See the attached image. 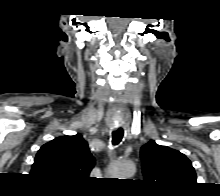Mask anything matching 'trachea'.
<instances>
[{"mask_svg": "<svg viewBox=\"0 0 220 196\" xmlns=\"http://www.w3.org/2000/svg\"><path fill=\"white\" fill-rule=\"evenodd\" d=\"M124 135V131L122 128H119L112 132V144L117 145L122 141Z\"/></svg>", "mask_w": 220, "mask_h": 196, "instance_id": "trachea-1", "label": "trachea"}]
</instances>
